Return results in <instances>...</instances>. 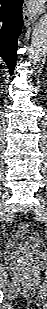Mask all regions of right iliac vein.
<instances>
[{
  "label": "right iliac vein",
  "instance_id": "1",
  "mask_svg": "<svg viewBox=\"0 0 47 309\" xmlns=\"http://www.w3.org/2000/svg\"><path fill=\"white\" fill-rule=\"evenodd\" d=\"M7 197H8V193H5L3 195V199H6ZM5 214H6V210H5L4 204L2 203L0 205V215H1V218H4Z\"/></svg>",
  "mask_w": 47,
  "mask_h": 309
}]
</instances>
